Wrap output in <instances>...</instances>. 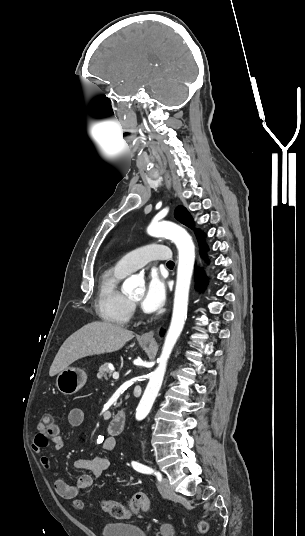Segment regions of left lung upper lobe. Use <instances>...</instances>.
Masks as SVG:
<instances>
[{"label":"left lung upper lobe","instance_id":"5c2ea615","mask_svg":"<svg viewBox=\"0 0 305 536\" xmlns=\"http://www.w3.org/2000/svg\"><path fill=\"white\" fill-rule=\"evenodd\" d=\"M174 216L181 223L193 229V219L189 212L186 210V208H184L183 206H178L175 209ZM195 234L198 237L200 234H202V232L200 230H195Z\"/></svg>","mask_w":305,"mask_h":536}]
</instances>
